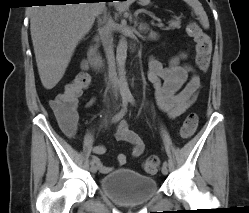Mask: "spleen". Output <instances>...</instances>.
I'll return each mask as SVG.
<instances>
[{
    "mask_svg": "<svg viewBox=\"0 0 249 213\" xmlns=\"http://www.w3.org/2000/svg\"><path fill=\"white\" fill-rule=\"evenodd\" d=\"M192 9L194 10V13L198 16V19L201 23V25L205 28H209V21L208 17L206 15V12L204 11L202 4L198 0H184Z\"/></svg>",
    "mask_w": 249,
    "mask_h": 213,
    "instance_id": "spleen-1",
    "label": "spleen"
}]
</instances>
